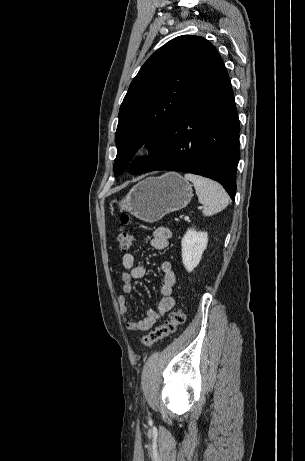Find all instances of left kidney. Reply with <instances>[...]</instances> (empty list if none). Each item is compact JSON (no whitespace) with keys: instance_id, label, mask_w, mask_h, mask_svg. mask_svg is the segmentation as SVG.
<instances>
[{"instance_id":"1","label":"left kidney","mask_w":305,"mask_h":461,"mask_svg":"<svg viewBox=\"0 0 305 461\" xmlns=\"http://www.w3.org/2000/svg\"><path fill=\"white\" fill-rule=\"evenodd\" d=\"M207 232H197L188 229L181 241L182 262L188 272H192L201 260L202 254L207 247Z\"/></svg>"}]
</instances>
